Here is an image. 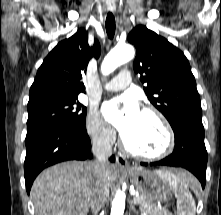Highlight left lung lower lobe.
I'll return each mask as SVG.
<instances>
[{"instance_id": "left-lung-lower-lobe-1", "label": "left lung lower lobe", "mask_w": 221, "mask_h": 215, "mask_svg": "<svg viewBox=\"0 0 221 215\" xmlns=\"http://www.w3.org/2000/svg\"><path fill=\"white\" fill-rule=\"evenodd\" d=\"M175 135L174 151L168 157L150 163V166L182 167L206 183L207 151L204 144V127L201 118L181 116L172 127ZM148 165V163H141Z\"/></svg>"}]
</instances>
